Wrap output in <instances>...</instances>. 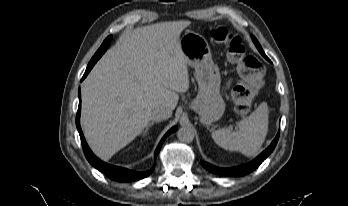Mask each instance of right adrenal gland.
Returning a JSON list of instances; mask_svg holds the SVG:
<instances>
[{
    "mask_svg": "<svg viewBox=\"0 0 348 206\" xmlns=\"http://www.w3.org/2000/svg\"><path fill=\"white\" fill-rule=\"evenodd\" d=\"M154 123H158V121H151V122L146 126L145 130L143 131V135H146V134H147L149 128H150L151 126H153Z\"/></svg>",
    "mask_w": 348,
    "mask_h": 206,
    "instance_id": "2a0ac1e0",
    "label": "right adrenal gland"
}]
</instances>
